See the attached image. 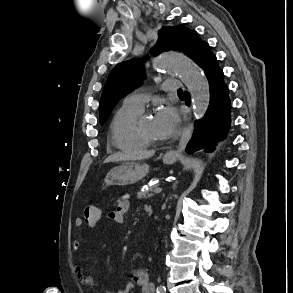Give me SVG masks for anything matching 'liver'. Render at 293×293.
Segmentation results:
<instances>
[{
	"instance_id": "liver-1",
	"label": "liver",
	"mask_w": 293,
	"mask_h": 293,
	"mask_svg": "<svg viewBox=\"0 0 293 293\" xmlns=\"http://www.w3.org/2000/svg\"><path fill=\"white\" fill-rule=\"evenodd\" d=\"M154 151H139L133 154L115 153L105 159V163L120 162L124 160H142L150 158L154 155Z\"/></svg>"
}]
</instances>
